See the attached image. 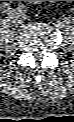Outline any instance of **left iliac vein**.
I'll return each mask as SVG.
<instances>
[{
	"instance_id": "4c4485c4",
	"label": "left iliac vein",
	"mask_w": 74,
	"mask_h": 122,
	"mask_svg": "<svg viewBox=\"0 0 74 122\" xmlns=\"http://www.w3.org/2000/svg\"><path fill=\"white\" fill-rule=\"evenodd\" d=\"M20 14L22 15V18H23V19H25V20H27V19H28V16H27V15H25L24 13H22V12H21Z\"/></svg>"
}]
</instances>
